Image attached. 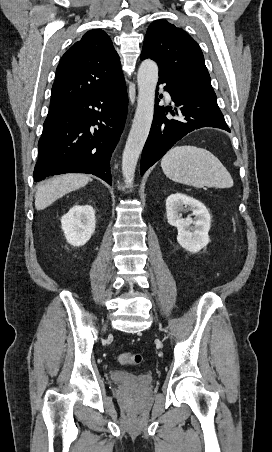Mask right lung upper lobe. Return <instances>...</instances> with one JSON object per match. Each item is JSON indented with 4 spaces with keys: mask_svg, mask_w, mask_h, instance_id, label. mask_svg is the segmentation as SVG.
Here are the masks:
<instances>
[{
    "mask_svg": "<svg viewBox=\"0 0 272 452\" xmlns=\"http://www.w3.org/2000/svg\"><path fill=\"white\" fill-rule=\"evenodd\" d=\"M120 59L108 35L88 31L62 57L52 87L50 111L79 102L123 80Z\"/></svg>",
    "mask_w": 272,
    "mask_h": 452,
    "instance_id": "cb5924a9",
    "label": "right lung upper lobe"
}]
</instances>
